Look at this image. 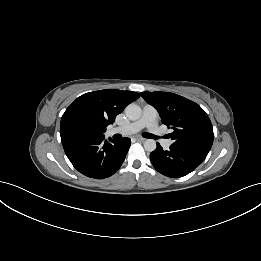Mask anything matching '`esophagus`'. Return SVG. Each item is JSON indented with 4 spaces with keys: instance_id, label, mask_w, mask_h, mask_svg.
<instances>
[{
    "instance_id": "1",
    "label": "esophagus",
    "mask_w": 261,
    "mask_h": 261,
    "mask_svg": "<svg viewBox=\"0 0 261 261\" xmlns=\"http://www.w3.org/2000/svg\"><path fill=\"white\" fill-rule=\"evenodd\" d=\"M136 140L139 141V142H143V141H145V139L142 138V137H136Z\"/></svg>"
}]
</instances>
